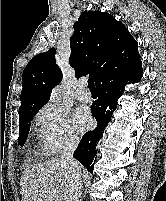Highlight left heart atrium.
<instances>
[{
	"label": "left heart atrium",
	"mask_w": 166,
	"mask_h": 201,
	"mask_svg": "<svg viewBox=\"0 0 166 201\" xmlns=\"http://www.w3.org/2000/svg\"><path fill=\"white\" fill-rule=\"evenodd\" d=\"M73 121L76 128L82 131L89 126L91 118L87 110L78 109L73 116Z\"/></svg>",
	"instance_id": "left-heart-atrium-1"
}]
</instances>
